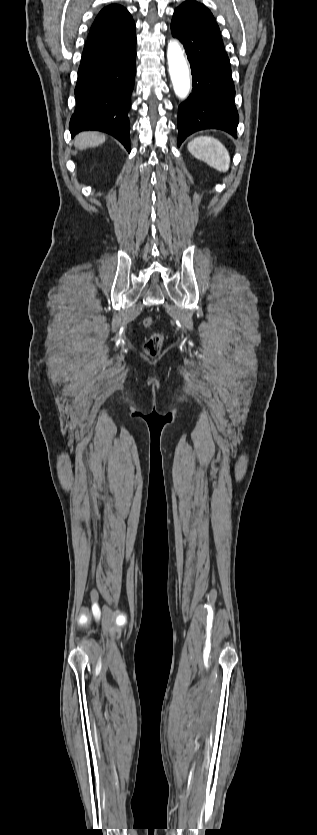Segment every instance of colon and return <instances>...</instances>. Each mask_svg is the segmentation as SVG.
<instances>
[{
	"label": "colon",
	"instance_id": "1",
	"mask_svg": "<svg viewBox=\"0 0 317 835\" xmlns=\"http://www.w3.org/2000/svg\"><path fill=\"white\" fill-rule=\"evenodd\" d=\"M154 323H155V321L152 317H146L143 320V326L145 328L152 327L154 325ZM163 342H164L163 335L161 333L155 332L146 339L145 344H144V350L148 355L154 356L161 349V346H162Z\"/></svg>",
	"mask_w": 317,
	"mask_h": 835
}]
</instances>
